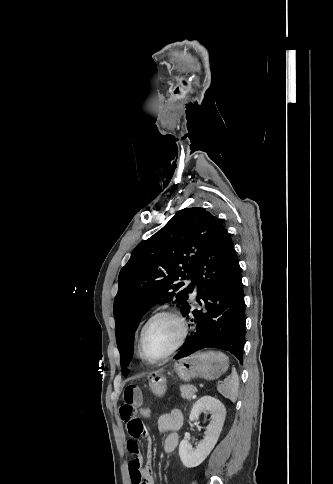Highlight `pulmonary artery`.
<instances>
[{
    "label": "pulmonary artery",
    "mask_w": 333,
    "mask_h": 484,
    "mask_svg": "<svg viewBox=\"0 0 333 484\" xmlns=\"http://www.w3.org/2000/svg\"><path fill=\"white\" fill-rule=\"evenodd\" d=\"M194 294H196V289H195V291H194Z\"/></svg>",
    "instance_id": "obj_1"
}]
</instances>
